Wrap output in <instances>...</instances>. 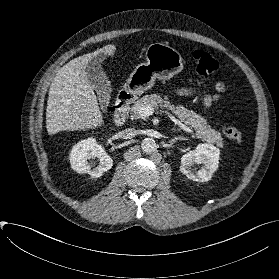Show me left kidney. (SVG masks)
<instances>
[{"instance_id": "1", "label": "left kidney", "mask_w": 279, "mask_h": 279, "mask_svg": "<svg viewBox=\"0 0 279 279\" xmlns=\"http://www.w3.org/2000/svg\"><path fill=\"white\" fill-rule=\"evenodd\" d=\"M219 156V148L208 143L199 144L196 150L182 156L180 171L193 181H209L218 168ZM193 164H203V167L194 173L191 168Z\"/></svg>"}]
</instances>
